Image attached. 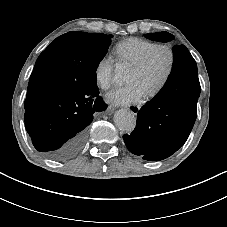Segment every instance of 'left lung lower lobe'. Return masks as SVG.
I'll return each instance as SVG.
<instances>
[{
	"label": "left lung lower lobe",
	"instance_id": "0a47b994",
	"mask_svg": "<svg viewBox=\"0 0 227 227\" xmlns=\"http://www.w3.org/2000/svg\"><path fill=\"white\" fill-rule=\"evenodd\" d=\"M167 82L137 114L136 128L123 136L128 150L145 160H163L187 140L197 117L200 95L197 65L184 45L173 49Z\"/></svg>",
	"mask_w": 227,
	"mask_h": 227
}]
</instances>
